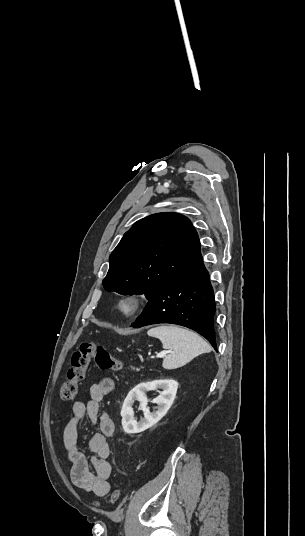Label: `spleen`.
<instances>
[{"mask_svg": "<svg viewBox=\"0 0 305 536\" xmlns=\"http://www.w3.org/2000/svg\"><path fill=\"white\" fill-rule=\"evenodd\" d=\"M152 338H159L164 350H173L163 360L165 370H176L186 366L196 356L211 352L210 344L200 338L195 332L187 328L173 326V324H158L157 328H151L147 332Z\"/></svg>", "mask_w": 305, "mask_h": 536, "instance_id": "spleen-1", "label": "spleen"}]
</instances>
